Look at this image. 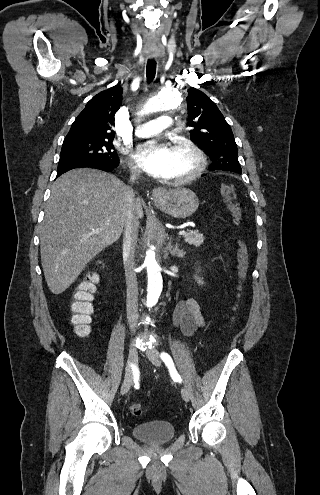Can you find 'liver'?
I'll return each mask as SVG.
<instances>
[{"instance_id": "obj_1", "label": "liver", "mask_w": 320, "mask_h": 495, "mask_svg": "<svg viewBox=\"0 0 320 495\" xmlns=\"http://www.w3.org/2000/svg\"><path fill=\"white\" fill-rule=\"evenodd\" d=\"M127 187L115 176L93 169H74L53 183L40 231L45 280L61 294L87 263L119 239L127 211ZM143 218L140 200H135Z\"/></svg>"}]
</instances>
